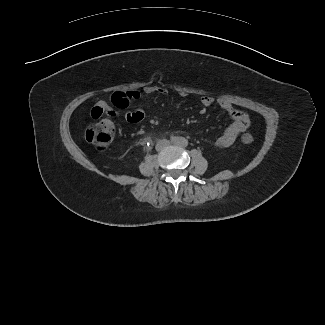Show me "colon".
Wrapping results in <instances>:
<instances>
[{
	"mask_svg": "<svg viewBox=\"0 0 325 325\" xmlns=\"http://www.w3.org/2000/svg\"><path fill=\"white\" fill-rule=\"evenodd\" d=\"M85 139L96 150L105 151L111 144L113 134V124L111 121L103 119L98 122L89 124L85 128ZM254 140L251 134H244L241 141L244 144H250Z\"/></svg>",
	"mask_w": 325,
	"mask_h": 325,
	"instance_id": "colon-1",
	"label": "colon"
}]
</instances>
